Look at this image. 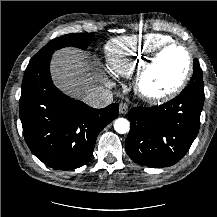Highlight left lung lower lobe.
I'll return each mask as SVG.
<instances>
[{"label":"left lung lower lobe","mask_w":217,"mask_h":217,"mask_svg":"<svg viewBox=\"0 0 217 217\" xmlns=\"http://www.w3.org/2000/svg\"><path fill=\"white\" fill-rule=\"evenodd\" d=\"M204 90L189 84L174 99L153 107H134L125 141L130 158L143 166L177 163L189 150L200 127Z\"/></svg>","instance_id":"1"}]
</instances>
